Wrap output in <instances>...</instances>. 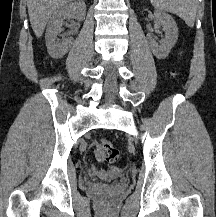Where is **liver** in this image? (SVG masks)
Instances as JSON below:
<instances>
[{
    "instance_id": "liver-1",
    "label": "liver",
    "mask_w": 216,
    "mask_h": 217,
    "mask_svg": "<svg viewBox=\"0 0 216 217\" xmlns=\"http://www.w3.org/2000/svg\"><path fill=\"white\" fill-rule=\"evenodd\" d=\"M71 0H27L31 27L41 37L50 16Z\"/></svg>"
}]
</instances>
